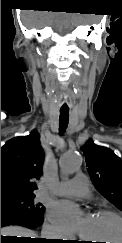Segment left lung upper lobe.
<instances>
[{
  "label": "left lung upper lobe",
  "mask_w": 122,
  "mask_h": 243,
  "mask_svg": "<svg viewBox=\"0 0 122 243\" xmlns=\"http://www.w3.org/2000/svg\"><path fill=\"white\" fill-rule=\"evenodd\" d=\"M87 171L95 187L108 201L122 211V160L106 147L88 141L81 148Z\"/></svg>",
  "instance_id": "1"
}]
</instances>
